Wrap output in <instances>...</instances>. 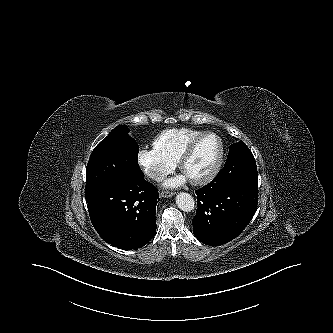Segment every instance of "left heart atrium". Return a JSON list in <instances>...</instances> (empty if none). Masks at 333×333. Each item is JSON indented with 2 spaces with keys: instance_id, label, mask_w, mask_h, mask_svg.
Masks as SVG:
<instances>
[{
  "instance_id": "left-heart-atrium-1",
  "label": "left heart atrium",
  "mask_w": 333,
  "mask_h": 333,
  "mask_svg": "<svg viewBox=\"0 0 333 333\" xmlns=\"http://www.w3.org/2000/svg\"><path fill=\"white\" fill-rule=\"evenodd\" d=\"M188 178L185 175H181L175 178H171L165 182L167 187H177L186 182Z\"/></svg>"
}]
</instances>
